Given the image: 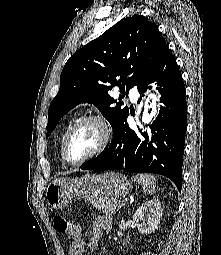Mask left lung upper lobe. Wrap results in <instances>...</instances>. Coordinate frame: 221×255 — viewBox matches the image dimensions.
Here are the masks:
<instances>
[{
  "instance_id": "obj_1",
  "label": "left lung upper lobe",
  "mask_w": 221,
  "mask_h": 255,
  "mask_svg": "<svg viewBox=\"0 0 221 255\" xmlns=\"http://www.w3.org/2000/svg\"><path fill=\"white\" fill-rule=\"evenodd\" d=\"M166 47L156 25L144 16L133 15L75 52L62 70L58 94L49 106L46 137L70 109L86 102L100 110L114 131L129 109L108 91L115 85L122 95H128L133 86L139 90Z\"/></svg>"
}]
</instances>
